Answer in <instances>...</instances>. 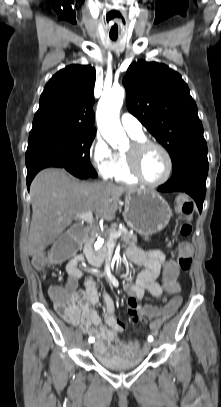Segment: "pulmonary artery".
Segmentation results:
<instances>
[{
	"mask_svg": "<svg viewBox=\"0 0 221 407\" xmlns=\"http://www.w3.org/2000/svg\"><path fill=\"white\" fill-rule=\"evenodd\" d=\"M121 124L123 128L131 135V136H142V125L139 120L134 117L130 113H124L121 116Z\"/></svg>",
	"mask_w": 221,
	"mask_h": 407,
	"instance_id": "obj_1",
	"label": "pulmonary artery"
}]
</instances>
